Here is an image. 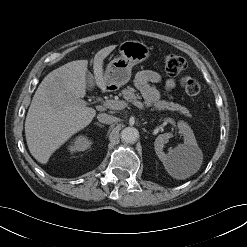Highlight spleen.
Listing matches in <instances>:
<instances>
[{
  "instance_id": "1",
  "label": "spleen",
  "mask_w": 247,
  "mask_h": 247,
  "mask_svg": "<svg viewBox=\"0 0 247 247\" xmlns=\"http://www.w3.org/2000/svg\"><path fill=\"white\" fill-rule=\"evenodd\" d=\"M183 160H181L180 162H182ZM168 169H169V172L174 176V177H176V178H186V177H188V176H190L191 174H193L194 172H195V170H192V171H190L188 174H186V175H179V173L176 171V169L173 167V166H171V165H168Z\"/></svg>"
}]
</instances>
